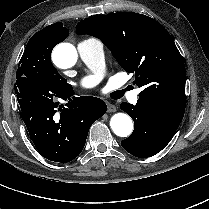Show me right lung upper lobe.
Segmentation results:
<instances>
[{
  "label": "right lung upper lobe",
  "mask_w": 209,
  "mask_h": 209,
  "mask_svg": "<svg viewBox=\"0 0 209 209\" xmlns=\"http://www.w3.org/2000/svg\"><path fill=\"white\" fill-rule=\"evenodd\" d=\"M45 31L49 32L48 38L51 41H53L55 45L64 41L69 34V30L66 27H63V24L61 22H57L55 24L47 26L39 32H45Z\"/></svg>",
  "instance_id": "obj_1"
}]
</instances>
